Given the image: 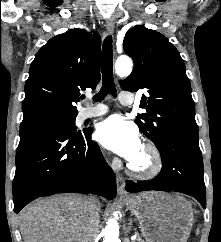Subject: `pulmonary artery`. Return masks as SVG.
<instances>
[{
	"instance_id": "1",
	"label": "pulmonary artery",
	"mask_w": 221,
	"mask_h": 242,
	"mask_svg": "<svg viewBox=\"0 0 221 242\" xmlns=\"http://www.w3.org/2000/svg\"><path fill=\"white\" fill-rule=\"evenodd\" d=\"M120 102L123 105H131L133 103V97L130 93L122 92L120 94ZM108 109L106 106L98 104L96 106L85 108L82 113L81 117L82 119H89V118H95L104 115L107 113Z\"/></svg>"
}]
</instances>
